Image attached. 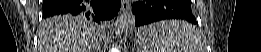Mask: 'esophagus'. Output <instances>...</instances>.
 <instances>
[{"label":"esophagus","mask_w":261,"mask_h":52,"mask_svg":"<svg viewBox=\"0 0 261 52\" xmlns=\"http://www.w3.org/2000/svg\"><path fill=\"white\" fill-rule=\"evenodd\" d=\"M130 2L128 0H122V5H121V9L123 12H127L130 10Z\"/></svg>","instance_id":"esophagus-1"}]
</instances>
